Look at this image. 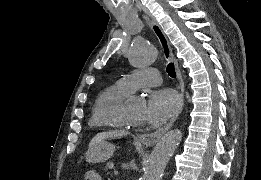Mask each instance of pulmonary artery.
Returning <instances> with one entry per match:
<instances>
[{
	"instance_id": "pulmonary-artery-1",
	"label": "pulmonary artery",
	"mask_w": 261,
	"mask_h": 180,
	"mask_svg": "<svg viewBox=\"0 0 261 180\" xmlns=\"http://www.w3.org/2000/svg\"><path fill=\"white\" fill-rule=\"evenodd\" d=\"M161 80V74L157 69H136L126 75H123L117 84L127 93L134 88L154 89Z\"/></svg>"
}]
</instances>
